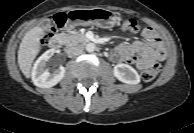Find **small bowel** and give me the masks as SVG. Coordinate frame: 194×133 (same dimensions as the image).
<instances>
[{"label":"small bowel","instance_id":"small-bowel-1","mask_svg":"<svg viewBox=\"0 0 194 133\" xmlns=\"http://www.w3.org/2000/svg\"><path fill=\"white\" fill-rule=\"evenodd\" d=\"M142 37L144 40L119 44L109 53L110 59L114 62L134 63L140 71L152 67L157 60H163L165 48L157 32L146 27L142 31Z\"/></svg>","mask_w":194,"mask_h":133}]
</instances>
